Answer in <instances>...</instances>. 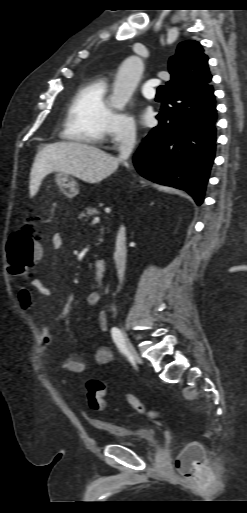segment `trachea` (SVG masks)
I'll use <instances>...</instances> for the list:
<instances>
[{"label":"trachea","instance_id":"3493384b","mask_svg":"<svg viewBox=\"0 0 247 513\" xmlns=\"http://www.w3.org/2000/svg\"><path fill=\"white\" fill-rule=\"evenodd\" d=\"M164 90H165V86L161 85V86L158 87L157 93L162 95Z\"/></svg>","mask_w":247,"mask_h":513}]
</instances>
